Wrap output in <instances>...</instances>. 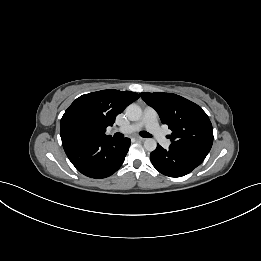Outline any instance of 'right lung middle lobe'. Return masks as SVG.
<instances>
[{
  "label": "right lung middle lobe",
  "instance_id": "1",
  "mask_svg": "<svg viewBox=\"0 0 261 261\" xmlns=\"http://www.w3.org/2000/svg\"><path fill=\"white\" fill-rule=\"evenodd\" d=\"M61 139L97 137L94 124L83 117H75L60 126Z\"/></svg>",
  "mask_w": 261,
  "mask_h": 261
}]
</instances>
